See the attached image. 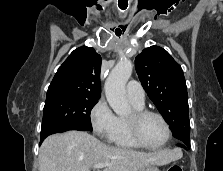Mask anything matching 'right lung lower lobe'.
Returning a JSON list of instances; mask_svg holds the SVG:
<instances>
[{
  "instance_id": "1",
  "label": "right lung lower lobe",
  "mask_w": 223,
  "mask_h": 171,
  "mask_svg": "<svg viewBox=\"0 0 223 171\" xmlns=\"http://www.w3.org/2000/svg\"><path fill=\"white\" fill-rule=\"evenodd\" d=\"M68 130H80V131H90L82 126L72 124V123H67V124H61L58 126H55L53 128H50L47 130L44 134L41 135L40 143L49 135L54 134V133H59V132H65Z\"/></svg>"
}]
</instances>
